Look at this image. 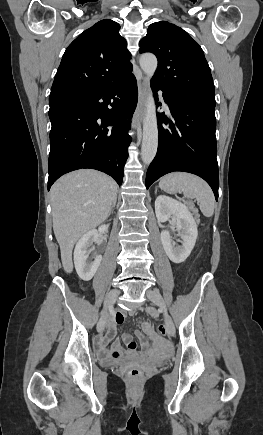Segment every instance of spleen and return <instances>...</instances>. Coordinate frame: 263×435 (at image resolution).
Segmentation results:
<instances>
[{
  "label": "spleen",
  "instance_id": "1",
  "mask_svg": "<svg viewBox=\"0 0 263 435\" xmlns=\"http://www.w3.org/2000/svg\"><path fill=\"white\" fill-rule=\"evenodd\" d=\"M159 187L169 193L181 191L188 198H195L205 217L214 214L215 198L209 185L198 176L185 172H173L162 177Z\"/></svg>",
  "mask_w": 263,
  "mask_h": 435
}]
</instances>
